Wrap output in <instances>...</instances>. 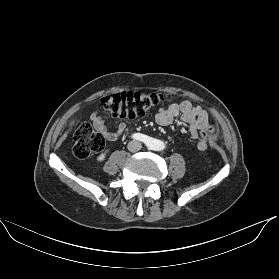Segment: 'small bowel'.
<instances>
[{
	"instance_id": "obj_1",
	"label": "small bowel",
	"mask_w": 279,
	"mask_h": 279,
	"mask_svg": "<svg viewBox=\"0 0 279 279\" xmlns=\"http://www.w3.org/2000/svg\"><path fill=\"white\" fill-rule=\"evenodd\" d=\"M179 117L180 122L189 126L191 136L198 139L197 147L200 151L207 149V139L204 133L209 127V116L207 111L201 106H196L190 101L172 103L167 108H160L156 114L155 120L161 126H167ZM91 120L96 129L108 140H115L123 135L126 131V124L121 122L115 130L106 127L104 119L94 112Z\"/></svg>"
}]
</instances>
